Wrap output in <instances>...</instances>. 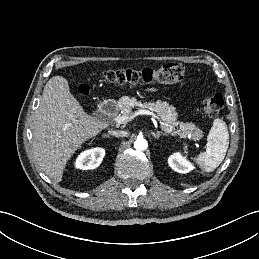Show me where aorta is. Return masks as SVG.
<instances>
[{
	"instance_id": "1",
	"label": "aorta",
	"mask_w": 259,
	"mask_h": 259,
	"mask_svg": "<svg viewBox=\"0 0 259 259\" xmlns=\"http://www.w3.org/2000/svg\"><path fill=\"white\" fill-rule=\"evenodd\" d=\"M148 147V143L144 138H137L134 142V148L138 151L146 150Z\"/></svg>"
}]
</instances>
